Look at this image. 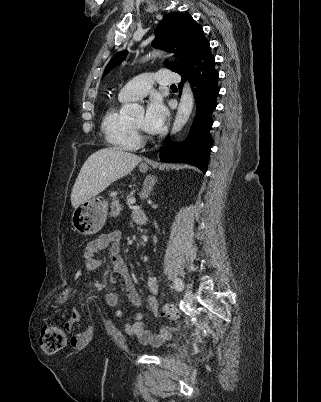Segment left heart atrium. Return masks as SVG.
<instances>
[{"label": "left heart atrium", "instance_id": "39dd6f15", "mask_svg": "<svg viewBox=\"0 0 321 402\" xmlns=\"http://www.w3.org/2000/svg\"><path fill=\"white\" fill-rule=\"evenodd\" d=\"M168 111L162 101L158 98H153L147 108L143 120V128L148 133L159 132L166 119Z\"/></svg>", "mask_w": 321, "mask_h": 402}]
</instances>
